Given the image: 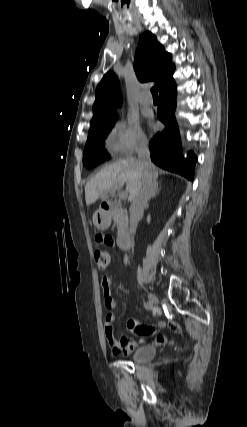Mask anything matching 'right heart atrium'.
<instances>
[{
  "mask_svg": "<svg viewBox=\"0 0 247 427\" xmlns=\"http://www.w3.org/2000/svg\"><path fill=\"white\" fill-rule=\"evenodd\" d=\"M148 139L134 120L117 121L109 129L106 137L107 148L114 154L129 156L143 149Z\"/></svg>",
  "mask_w": 247,
  "mask_h": 427,
  "instance_id": "d8ad5b80",
  "label": "right heart atrium"
}]
</instances>
